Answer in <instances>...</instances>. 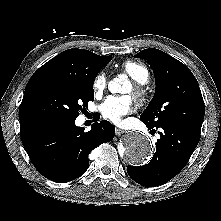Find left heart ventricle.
I'll list each match as a JSON object with an SVG mask.
<instances>
[{
    "instance_id": "left-heart-ventricle-1",
    "label": "left heart ventricle",
    "mask_w": 221,
    "mask_h": 221,
    "mask_svg": "<svg viewBox=\"0 0 221 221\" xmlns=\"http://www.w3.org/2000/svg\"><path fill=\"white\" fill-rule=\"evenodd\" d=\"M125 93L131 94V93H132V88H131V87H128V88L125 90Z\"/></svg>"
}]
</instances>
